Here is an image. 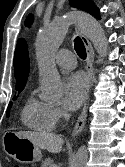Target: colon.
<instances>
[{
    "label": "colon",
    "instance_id": "colon-1",
    "mask_svg": "<svg viewBox=\"0 0 125 167\" xmlns=\"http://www.w3.org/2000/svg\"><path fill=\"white\" fill-rule=\"evenodd\" d=\"M13 167H22L21 165H14Z\"/></svg>",
    "mask_w": 125,
    "mask_h": 167
}]
</instances>
